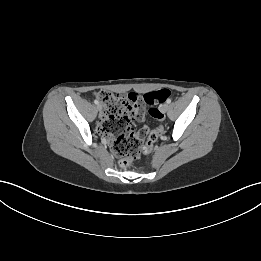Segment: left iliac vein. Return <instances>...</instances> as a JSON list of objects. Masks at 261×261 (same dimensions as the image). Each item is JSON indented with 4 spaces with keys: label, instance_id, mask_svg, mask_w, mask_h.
<instances>
[{
    "label": "left iliac vein",
    "instance_id": "1",
    "mask_svg": "<svg viewBox=\"0 0 261 261\" xmlns=\"http://www.w3.org/2000/svg\"><path fill=\"white\" fill-rule=\"evenodd\" d=\"M168 108H169V105L168 103H164L162 106H161V111L163 113H166L168 111Z\"/></svg>",
    "mask_w": 261,
    "mask_h": 261
}]
</instances>
